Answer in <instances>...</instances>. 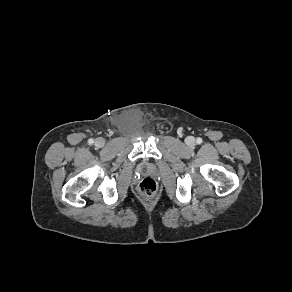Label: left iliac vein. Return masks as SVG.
Here are the masks:
<instances>
[{
  "mask_svg": "<svg viewBox=\"0 0 292 292\" xmlns=\"http://www.w3.org/2000/svg\"><path fill=\"white\" fill-rule=\"evenodd\" d=\"M185 142L188 146H193L195 144V139L193 137H187Z\"/></svg>",
  "mask_w": 292,
  "mask_h": 292,
  "instance_id": "4c4485c4",
  "label": "left iliac vein"
}]
</instances>
